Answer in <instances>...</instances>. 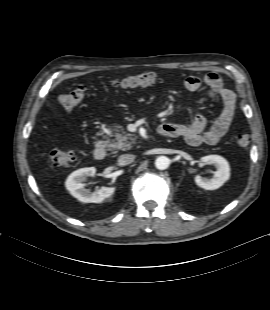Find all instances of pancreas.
<instances>
[{
	"label": "pancreas",
	"mask_w": 270,
	"mask_h": 310,
	"mask_svg": "<svg viewBox=\"0 0 270 310\" xmlns=\"http://www.w3.org/2000/svg\"><path fill=\"white\" fill-rule=\"evenodd\" d=\"M109 130L112 132L111 136L114 137V139L107 142L110 150L126 151L132 148L136 142V137L131 133H127L120 124H114Z\"/></svg>",
	"instance_id": "pancreas-1"
}]
</instances>
